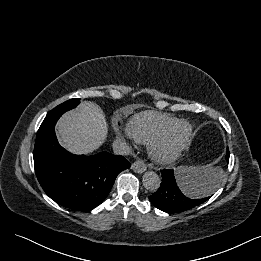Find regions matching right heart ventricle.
Instances as JSON below:
<instances>
[{"label":"right heart ventricle","instance_id":"right-heart-ventricle-1","mask_svg":"<svg viewBox=\"0 0 261 261\" xmlns=\"http://www.w3.org/2000/svg\"><path fill=\"white\" fill-rule=\"evenodd\" d=\"M177 121V118L166 114L145 111L134 115L129 120L127 129L135 141L150 144Z\"/></svg>","mask_w":261,"mask_h":261}]
</instances>
